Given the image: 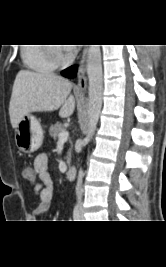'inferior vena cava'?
Here are the masks:
<instances>
[{
	"label": "inferior vena cava",
	"instance_id": "obj_1",
	"mask_svg": "<svg viewBox=\"0 0 166 267\" xmlns=\"http://www.w3.org/2000/svg\"><path fill=\"white\" fill-rule=\"evenodd\" d=\"M82 177H83V172L82 170L79 171V176H78V181H77V186H76V195L79 204H81V198H82V189H81V184H82Z\"/></svg>",
	"mask_w": 166,
	"mask_h": 267
}]
</instances>
